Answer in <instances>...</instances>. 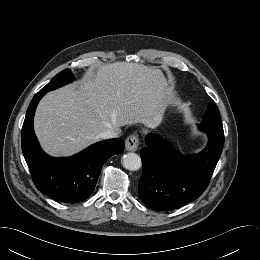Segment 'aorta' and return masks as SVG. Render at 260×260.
<instances>
[{
  "mask_svg": "<svg viewBox=\"0 0 260 260\" xmlns=\"http://www.w3.org/2000/svg\"><path fill=\"white\" fill-rule=\"evenodd\" d=\"M123 167L130 171H137L141 168L142 162L139 155L130 152L122 157Z\"/></svg>",
  "mask_w": 260,
  "mask_h": 260,
  "instance_id": "762f6f07",
  "label": "aorta"
}]
</instances>
